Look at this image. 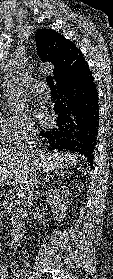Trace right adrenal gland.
Listing matches in <instances>:
<instances>
[{"label":"right adrenal gland","mask_w":113,"mask_h":279,"mask_svg":"<svg viewBox=\"0 0 113 279\" xmlns=\"http://www.w3.org/2000/svg\"><path fill=\"white\" fill-rule=\"evenodd\" d=\"M50 177H51V175L49 173H46V174H44V176H42V178H40L38 180V184L36 185L37 191H36L35 199L38 198V196L40 195V189L46 185V183L49 181Z\"/></svg>","instance_id":"2a0ac1e0"}]
</instances>
